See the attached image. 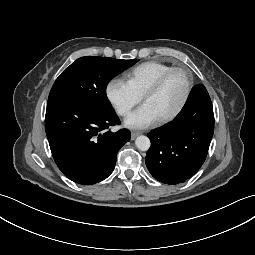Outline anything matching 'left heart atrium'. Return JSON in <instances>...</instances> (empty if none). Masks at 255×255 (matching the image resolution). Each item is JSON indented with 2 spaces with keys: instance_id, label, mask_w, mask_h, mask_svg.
I'll return each instance as SVG.
<instances>
[{
  "instance_id": "1",
  "label": "left heart atrium",
  "mask_w": 255,
  "mask_h": 255,
  "mask_svg": "<svg viewBox=\"0 0 255 255\" xmlns=\"http://www.w3.org/2000/svg\"><path fill=\"white\" fill-rule=\"evenodd\" d=\"M160 119L156 110L149 103H144L141 107L131 113L125 120V124L130 128H146Z\"/></svg>"
}]
</instances>
